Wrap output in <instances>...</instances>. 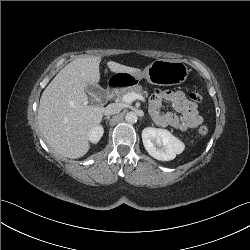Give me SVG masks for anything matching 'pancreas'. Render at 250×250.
Listing matches in <instances>:
<instances>
[{"mask_svg": "<svg viewBox=\"0 0 250 250\" xmlns=\"http://www.w3.org/2000/svg\"><path fill=\"white\" fill-rule=\"evenodd\" d=\"M129 93L144 94L146 96L148 95V93L143 90L141 85H136L132 87L118 89L115 93V96L118 100H122V97Z\"/></svg>", "mask_w": 250, "mask_h": 250, "instance_id": "pancreas-1", "label": "pancreas"}]
</instances>
